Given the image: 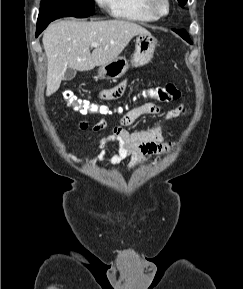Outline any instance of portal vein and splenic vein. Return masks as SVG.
Listing matches in <instances>:
<instances>
[{
    "label": "portal vein and splenic vein",
    "instance_id": "obj_1",
    "mask_svg": "<svg viewBox=\"0 0 243 289\" xmlns=\"http://www.w3.org/2000/svg\"><path fill=\"white\" fill-rule=\"evenodd\" d=\"M99 45H100V44L97 43V42H92L90 46H91V47H97V46H99Z\"/></svg>",
    "mask_w": 243,
    "mask_h": 289
}]
</instances>
